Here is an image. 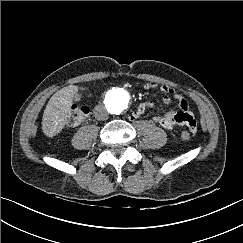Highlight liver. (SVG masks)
<instances>
[{"label":"liver","instance_id":"1","mask_svg":"<svg viewBox=\"0 0 243 243\" xmlns=\"http://www.w3.org/2000/svg\"><path fill=\"white\" fill-rule=\"evenodd\" d=\"M78 86L58 90L48 101L42 118V130L48 137L57 135L65 126Z\"/></svg>","mask_w":243,"mask_h":243}]
</instances>
